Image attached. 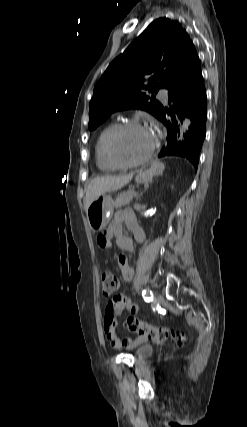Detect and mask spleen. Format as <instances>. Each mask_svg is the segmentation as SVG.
<instances>
[{
  "label": "spleen",
  "instance_id": "obj_1",
  "mask_svg": "<svg viewBox=\"0 0 247 427\" xmlns=\"http://www.w3.org/2000/svg\"><path fill=\"white\" fill-rule=\"evenodd\" d=\"M159 165H162V166H163V164H160V163H154L152 166H153V167H157V166H159Z\"/></svg>",
  "mask_w": 247,
  "mask_h": 427
}]
</instances>
